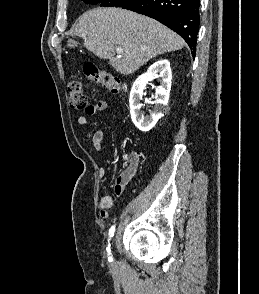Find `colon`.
I'll return each mask as SVG.
<instances>
[{
  "label": "colon",
  "instance_id": "obj_1",
  "mask_svg": "<svg viewBox=\"0 0 259 294\" xmlns=\"http://www.w3.org/2000/svg\"><path fill=\"white\" fill-rule=\"evenodd\" d=\"M83 75L88 81L99 84L113 93L119 91L120 80L106 70H101L94 65H86L83 68ZM67 89L71 107L77 110H86L87 100L80 80L77 77H72L68 82Z\"/></svg>",
  "mask_w": 259,
  "mask_h": 294
}]
</instances>
